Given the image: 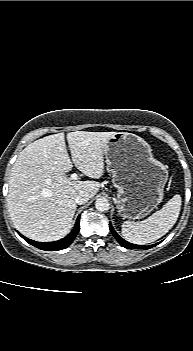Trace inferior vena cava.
<instances>
[{
    "label": "inferior vena cava",
    "instance_id": "1",
    "mask_svg": "<svg viewBox=\"0 0 193 351\" xmlns=\"http://www.w3.org/2000/svg\"><path fill=\"white\" fill-rule=\"evenodd\" d=\"M89 198L90 196L87 192H80L75 198V203L78 205L85 204Z\"/></svg>",
    "mask_w": 193,
    "mask_h": 351
}]
</instances>
